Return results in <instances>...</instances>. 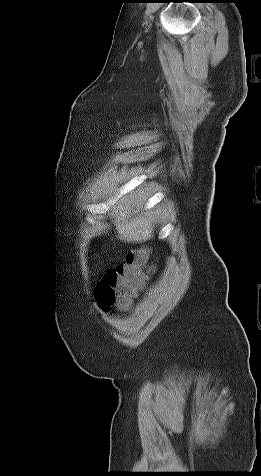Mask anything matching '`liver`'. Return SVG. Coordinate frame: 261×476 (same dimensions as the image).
Listing matches in <instances>:
<instances>
[{
	"label": "liver",
	"mask_w": 261,
	"mask_h": 476,
	"mask_svg": "<svg viewBox=\"0 0 261 476\" xmlns=\"http://www.w3.org/2000/svg\"><path fill=\"white\" fill-rule=\"evenodd\" d=\"M146 198L143 195L120 197L113 207L112 223L125 242H143L153 237L156 217L144 211Z\"/></svg>",
	"instance_id": "obj_1"
}]
</instances>
